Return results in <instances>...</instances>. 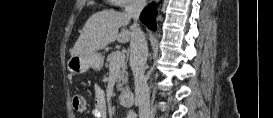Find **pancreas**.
Returning a JSON list of instances; mask_svg holds the SVG:
<instances>
[{"label":"pancreas","mask_w":273,"mask_h":118,"mask_svg":"<svg viewBox=\"0 0 273 118\" xmlns=\"http://www.w3.org/2000/svg\"><path fill=\"white\" fill-rule=\"evenodd\" d=\"M118 51L112 52L107 56L106 59V68H111L113 64H115L118 68V80H117V85L116 88L118 91H125L128 90V72H127V64L125 60H118L117 55Z\"/></svg>","instance_id":"cf45deb5"}]
</instances>
